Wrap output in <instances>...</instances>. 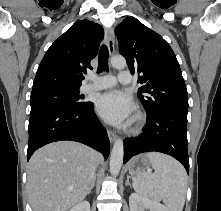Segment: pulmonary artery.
Returning <instances> with one entry per match:
<instances>
[{
    "instance_id": "e3ab8cb5",
    "label": "pulmonary artery",
    "mask_w": 221,
    "mask_h": 211,
    "mask_svg": "<svg viewBox=\"0 0 221 211\" xmlns=\"http://www.w3.org/2000/svg\"><path fill=\"white\" fill-rule=\"evenodd\" d=\"M117 82L123 85L130 84L132 82L131 73L129 71H121L117 78L111 75L100 77L89 75L88 82L82 86V90L85 92H91L107 89L113 87Z\"/></svg>"
}]
</instances>
